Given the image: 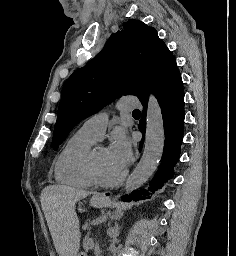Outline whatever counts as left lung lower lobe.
<instances>
[{"instance_id": "obj_1", "label": "left lung lower lobe", "mask_w": 236, "mask_h": 256, "mask_svg": "<svg viewBox=\"0 0 236 256\" xmlns=\"http://www.w3.org/2000/svg\"><path fill=\"white\" fill-rule=\"evenodd\" d=\"M152 93L159 102L163 116L165 142L162 161L149 187L123 196L122 199L126 202L150 198V192L154 193V191L161 189L173 177L174 166L180 156L184 125V92L178 68L165 77ZM148 95L140 99L144 108L143 116L139 122V130L143 133V139L146 130ZM143 139L140 142V150Z\"/></svg>"}]
</instances>
